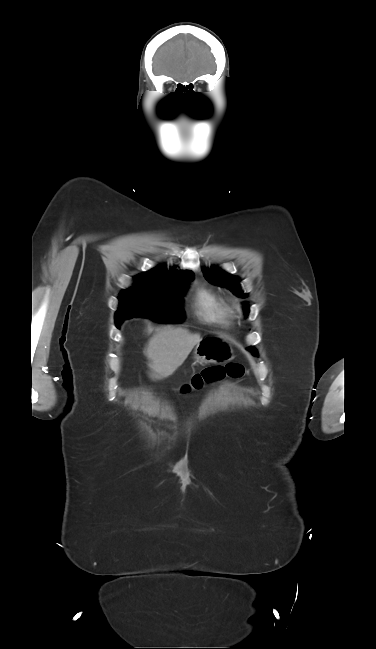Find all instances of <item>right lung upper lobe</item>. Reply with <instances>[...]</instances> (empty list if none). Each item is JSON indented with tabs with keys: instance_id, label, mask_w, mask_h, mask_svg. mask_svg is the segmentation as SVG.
<instances>
[{
	"instance_id": "cb5924a9",
	"label": "right lung upper lobe",
	"mask_w": 376,
	"mask_h": 649,
	"mask_svg": "<svg viewBox=\"0 0 376 649\" xmlns=\"http://www.w3.org/2000/svg\"><path fill=\"white\" fill-rule=\"evenodd\" d=\"M187 273H193L192 271L185 270V271H175V270H170L167 271V269L164 266H159L156 267L148 272L142 273L140 275H145V276H150V277H165V276H178V275H183Z\"/></svg>"
}]
</instances>
